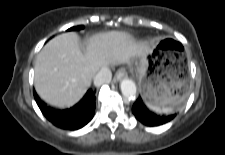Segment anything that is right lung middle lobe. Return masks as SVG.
<instances>
[{"label":"right lung middle lobe","mask_w":225,"mask_h":155,"mask_svg":"<svg viewBox=\"0 0 225 155\" xmlns=\"http://www.w3.org/2000/svg\"><path fill=\"white\" fill-rule=\"evenodd\" d=\"M82 28H83V26H76V27L70 28L69 30H80Z\"/></svg>","instance_id":"right-lung-middle-lobe-1"}]
</instances>
